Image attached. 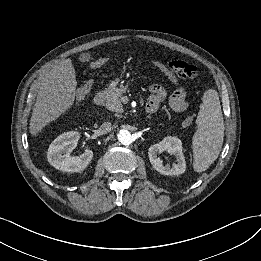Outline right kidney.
Here are the masks:
<instances>
[{
    "mask_svg": "<svg viewBox=\"0 0 261 261\" xmlns=\"http://www.w3.org/2000/svg\"><path fill=\"white\" fill-rule=\"evenodd\" d=\"M80 134L75 131L66 132L58 136L49 146L48 162L63 172H80L90 163L93 152L85 150L80 156L72 157L70 153L76 148Z\"/></svg>",
    "mask_w": 261,
    "mask_h": 261,
    "instance_id": "right-kidney-1",
    "label": "right kidney"
}]
</instances>
